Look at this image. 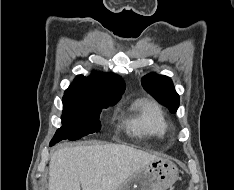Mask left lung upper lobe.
Returning <instances> with one entry per match:
<instances>
[{
  "label": "left lung upper lobe",
  "instance_id": "1",
  "mask_svg": "<svg viewBox=\"0 0 234 190\" xmlns=\"http://www.w3.org/2000/svg\"><path fill=\"white\" fill-rule=\"evenodd\" d=\"M144 89L173 113L179 107V95L172 80L164 75L150 73L142 78Z\"/></svg>",
  "mask_w": 234,
  "mask_h": 190
}]
</instances>
